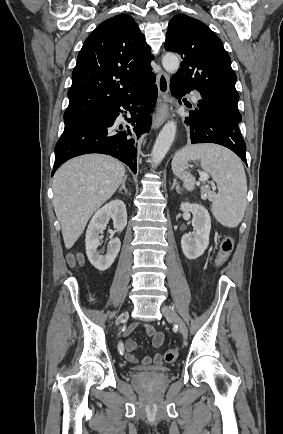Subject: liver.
I'll list each match as a JSON object with an SVG mask.
<instances>
[{
  "label": "liver",
  "instance_id": "obj_1",
  "mask_svg": "<svg viewBox=\"0 0 283 434\" xmlns=\"http://www.w3.org/2000/svg\"><path fill=\"white\" fill-rule=\"evenodd\" d=\"M125 176L124 165L103 154H86L62 165L53 177V205L70 249L93 213L110 199Z\"/></svg>",
  "mask_w": 283,
  "mask_h": 434
}]
</instances>
